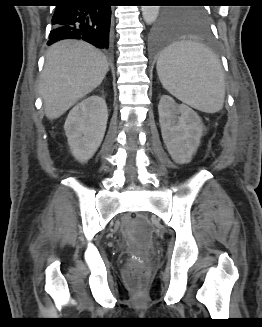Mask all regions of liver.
<instances>
[{"instance_id": "liver-1", "label": "liver", "mask_w": 262, "mask_h": 327, "mask_svg": "<svg viewBox=\"0 0 262 327\" xmlns=\"http://www.w3.org/2000/svg\"><path fill=\"white\" fill-rule=\"evenodd\" d=\"M108 70L106 56L87 43L62 40L51 46L39 84L46 117L63 115L98 87Z\"/></svg>"}]
</instances>
